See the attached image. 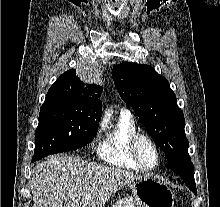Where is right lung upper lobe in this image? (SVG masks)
Wrapping results in <instances>:
<instances>
[{"label":"right lung upper lobe","mask_w":220,"mask_h":207,"mask_svg":"<svg viewBox=\"0 0 220 207\" xmlns=\"http://www.w3.org/2000/svg\"><path fill=\"white\" fill-rule=\"evenodd\" d=\"M102 87L85 82L74 69L64 72L48 90L47 95H61L75 97L86 105L102 113L99 97Z\"/></svg>","instance_id":"1"}]
</instances>
